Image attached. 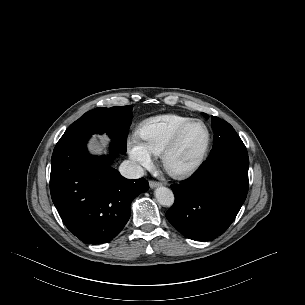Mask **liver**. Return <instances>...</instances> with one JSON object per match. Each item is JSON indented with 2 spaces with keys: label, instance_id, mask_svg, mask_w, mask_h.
<instances>
[{
  "label": "liver",
  "instance_id": "liver-1",
  "mask_svg": "<svg viewBox=\"0 0 305 305\" xmlns=\"http://www.w3.org/2000/svg\"><path fill=\"white\" fill-rule=\"evenodd\" d=\"M106 140L107 139L105 137L100 138V141L94 140L90 144V150L93 153H98V154L102 153V151L104 150V146H105V144L107 142Z\"/></svg>",
  "mask_w": 305,
  "mask_h": 305
}]
</instances>
